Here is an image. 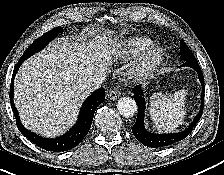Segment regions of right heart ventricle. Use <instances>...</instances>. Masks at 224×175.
<instances>
[{
    "label": "right heart ventricle",
    "mask_w": 224,
    "mask_h": 175,
    "mask_svg": "<svg viewBox=\"0 0 224 175\" xmlns=\"http://www.w3.org/2000/svg\"><path fill=\"white\" fill-rule=\"evenodd\" d=\"M153 41L146 37H133L122 41L114 51L119 59H131L151 47Z\"/></svg>",
    "instance_id": "e07e8e85"
}]
</instances>
